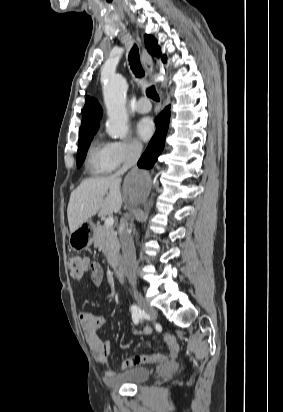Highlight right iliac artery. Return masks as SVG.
Listing matches in <instances>:
<instances>
[{
    "label": "right iliac artery",
    "instance_id": "82829eb1",
    "mask_svg": "<svg viewBox=\"0 0 283 412\" xmlns=\"http://www.w3.org/2000/svg\"><path fill=\"white\" fill-rule=\"evenodd\" d=\"M131 313H132L133 322L135 324H138L139 319H142L146 316L145 311L139 308L137 305L131 306Z\"/></svg>",
    "mask_w": 283,
    "mask_h": 412
}]
</instances>
